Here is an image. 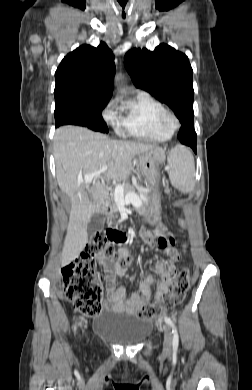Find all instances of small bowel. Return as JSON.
I'll list each match as a JSON object with an SVG mask.
<instances>
[{
  "mask_svg": "<svg viewBox=\"0 0 252 390\" xmlns=\"http://www.w3.org/2000/svg\"><path fill=\"white\" fill-rule=\"evenodd\" d=\"M154 236H156L158 245L165 250L168 256L155 266L159 278L155 280L156 290L154 292L150 288V279L144 277L139 283V293L133 292L127 296L126 289L120 285V279L125 275L126 270L115 265L112 260H99L100 266L108 272L105 278L108 292L104 302L106 309L119 313H135L138 307L159 301L168 292L169 286L175 279L174 263L179 259V252L175 248L174 236L165 228L142 231V238L146 241H152ZM127 250L128 248H124L122 251L126 253ZM170 272L173 274L171 275Z\"/></svg>",
  "mask_w": 252,
  "mask_h": 390,
  "instance_id": "small-bowel-1",
  "label": "small bowel"
}]
</instances>
